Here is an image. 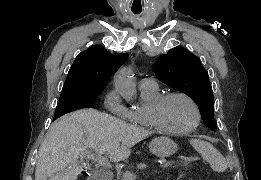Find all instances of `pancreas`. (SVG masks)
Masks as SVG:
<instances>
[{
    "instance_id": "1",
    "label": "pancreas",
    "mask_w": 261,
    "mask_h": 180,
    "mask_svg": "<svg viewBox=\"0 0 261 180\" xmlns=\"http://www.w3.org/2000/svg\"><path fill=\"white\" fill-rule=\"evenodd\" d=\"M192 162H189L188 159H180L177 160V163L175 165V170H187L188 167H192ZM127 172H129V170H133L134 166L133 165H128L127 166ZM111 180H122L121 178V174L120 173H115L114 177L111 178Z\"/></svg>"
}]
</instances>
